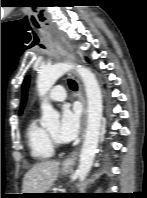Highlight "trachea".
<instances>
[{"mask_svg": "<svg viewBox=\"0 0 147 198\" xmlns=\"http://www.w3.org/2000/svg\"><path fill=\"white\" fill-rule=\"evenodd\" d=\"M68 84H69V87L72 89V90H77V84L74 80L72 79H68Z\"/></svg>", "mask_w": 147, "mask_h": 198, "instance_id": "trachea-1", "label": "trachea"}]
</instances>
